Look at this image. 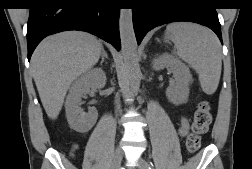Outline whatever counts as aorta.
I'll return each instance as SVG.
<instances>
[{
	"instance_id": "1",
	"label": "aorta",
	"mask_w": 252,
	"mask_h": 169,
	"mask_svg": "<svg viewBox=\"0 0 252 169\" xmlns=\"http://www.w3.org/2000/svg\"><path fill=\"white\" fill-rule=\"evenodd\" d=\"M136 40L131 30L123 33V47L122 53L125 59L124 69L127 75L130 92L133 96L137 95L140 89L141 72L134 65Z\"/></svg>"
}]
</instances>
